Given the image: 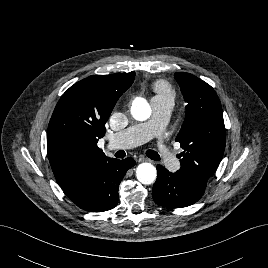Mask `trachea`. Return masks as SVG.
Instances as JSON below:
<instances>
[{"instance_id":"1","label":"trachea","mask_w":268,"mask_h":268,"mask_svg":"<svg viewBox=\"0 0 268 268\" xmlns=\"http://www.w3.org/2000/svg\"><path fill=\"white\" fill-rule=\"evenodd\" d=\"M147 156L149 158H151L152 160H155V161H160V156L158 155L157 152H155L154 150H148L146 152Z\"/></svg>"}]
</instances>
